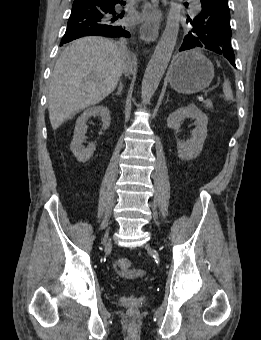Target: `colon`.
<instances>
[{
	"instance_id": "obj_1",
	"label": "colon",
	"mask_w": 261,
	"mask_h": 340,
	"mask_svg": "<svg viewBox=\"0 0 261 340\" xmlns=\"http://www.w3.org/2000/svg\"><path fill=\"white\" fill-rule=\"evenodd\" d=\"M131 267V261L127 258H121L118 259L115 263H114V269L117 273L120 274H124L127 273L129 271ZM132 313L134 314L135 311H132Z\"/></svg>"
}]
</instances>
